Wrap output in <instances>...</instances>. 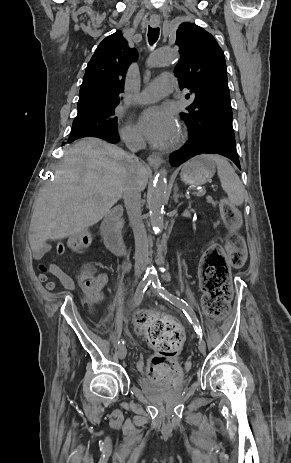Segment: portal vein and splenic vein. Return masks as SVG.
Wrapping results in <instances>:
<instances>
[{
  "instance_id": "obj_1",
  "label": "portal vein and splenic vein",
  "mask_w": 291,
  "mask_h": 463,
  "mask_svg": "<svg viewBox=\"0 0 291 463\" xmlns=\"http://www.w3.org/2000/svg\"><path fill=\"white\" fill-rule=\"evenodd\" d=\"M205 193H206L205 190H200L198 192H194L193 195H195V196H203Z\"/></svg>"
}]
</instances>
